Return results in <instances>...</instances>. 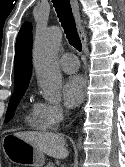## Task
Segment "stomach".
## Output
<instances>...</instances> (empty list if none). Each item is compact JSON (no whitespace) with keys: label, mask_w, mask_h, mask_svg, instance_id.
Returning a JSON list of instances; mask_svg holds the SVG:
<instances>
[{"label":"stomach","mask_w":125,"mask_h":167,"mask_svg":"<svg viewBox=\"0 0 125 167\" xmlns=\"http://www.w3.org/2000/svg\"><path fill=\"white\" fill-rule=\"evenodd\" d=\"M3 150L9 160L23 163L32 167H42L45 156L42 151L15 135L6 136Z\"/></svg>","instance_id":"0dacf381"}]
</instances>
